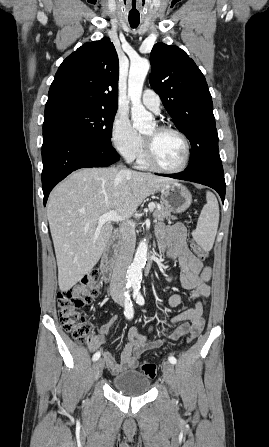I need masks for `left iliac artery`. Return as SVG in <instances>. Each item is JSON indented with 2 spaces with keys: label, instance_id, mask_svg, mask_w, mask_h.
<instances>
[{
  "label": "left iliac artery",
  "instance_id": "44dca946",
  "mask_svg": "<svg viewBox=\"0 0 269 447\" xmlns=\"http://www.w3.org/2000/svg\"><path fill=\"white\" fill-rule=\"evenodd\" d=\"M133 298L135 299L136 303L139 305H144L145 300L140 292V283L139 282H135L133 283ZM169 362L172 364H176V358L173 356H170L168 358Z\"/></svg>",
  "mask_w": 269,
  "mask_h": 447
}]
</instances>
